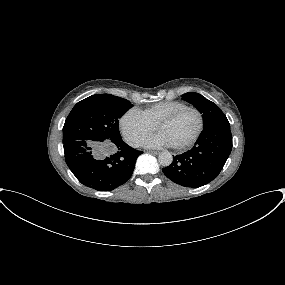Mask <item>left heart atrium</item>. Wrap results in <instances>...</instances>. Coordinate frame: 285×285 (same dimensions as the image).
Listing matches in <instances>:
<instances>
[{
    "label": "left heart atrium",
    "instance_id": "1",
    "mask_svg": "<svg viewBox=\"0 0 285 285\" xmlns=\"http://www.w3.org/2000/svg\"><path fill=\"white\" fill-rule=\"evenodd\" d=\"M145 144L148 147H169L171 146L167 138L161 133H158L154 136L149 137L146 140Z\"/></svg>",
    "mask_w": 285,
    "mask_h": 285
}]
</instances>
